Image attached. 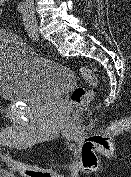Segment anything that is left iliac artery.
Wrapping results in <instances>:
<instances>
[{
	"label": "left iliac artery",
	"instance_id": "left-iliac-artery-1",
	"mask_svg": "<svg viewBox=\"0 0 131 177\" xmlns=\"http://www.w3.org/2000/svg\"><path fill=\"white\" fill-rule=\"evenodd\" d=\"M23 24L25 26V29H26L29 37L33 40H36V37H37L36 31L34 29L32 22H31V17L27 12L23 13Z\"/></svg>",
	"mask_w": 131,
	"mask_h": 177
}]
</instances>
